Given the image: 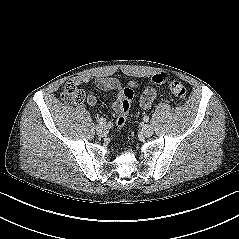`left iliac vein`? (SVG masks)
Masks as SVG:
<instances>
[{"instance_id":"4c4485c4","label":"left iliac vein","mask_w":239,"mask_h":239,"mask_svg":"<svg viewBox=\"0 0 239 239\" xmlns=\"http://www.w3.org/2000/svg\"><path fill=\"white\" fill-rule=\"evenodd\" d=\"M142 134L145 136V137H150L153 135V129L150 125H145L143 128H142Z\"/></svg>"}]
</instances>
